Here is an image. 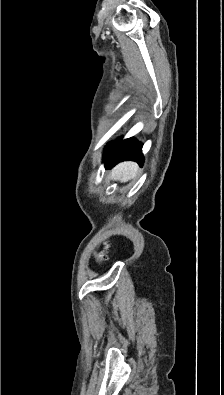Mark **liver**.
<instances>
[{"label":"liver","instance_id":"liver-1","mask_svg":"<svg viewBox=\"0 0 224 395\" xmlns=\"http://www.w3.org/2000/svg\"><path fill=\"white\" fill-rule=\"evenodd\" d=\"M139 171V167L134 162H123L118 164L111 173L113 180H119L121 182H127L130 179L136 177Z\"/></svg>","mask_w":224,"mask_h":395}]
</instances>
